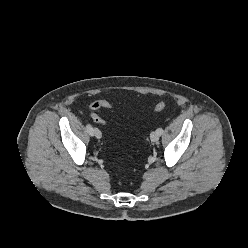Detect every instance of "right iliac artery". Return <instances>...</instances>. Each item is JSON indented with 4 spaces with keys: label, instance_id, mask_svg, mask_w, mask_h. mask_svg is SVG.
Segmentation results:
<instances>
[{
    "label": "right iliac artery",
    "instance_id": "1",
    "mask_svg": "<svg viewBox=\"0 0 248 248\" xmlns=\"http://www.w3.org/2000/svg\"><path fill=\"white\" fill-rule=\"evenodd\" d=\"M86 129H87V131H88V133H89L90 135H93V128H92V126H91L90 124H87V125H86Z\"/></svg>",
    "mask_w": 248,
    "mask_h": 248
}]
</instances>
